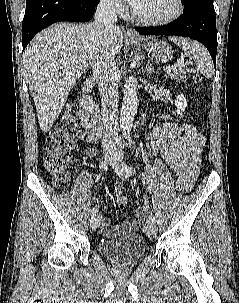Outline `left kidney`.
Masks as SVG:
<instances>
[{"instance_id": "obj_1", "label": "left kidney", "mask_w": 239, "mask_h": 303, "mask_svg": "<svg viewBox=\"0 0 239 303\" xmlns=\"http://www.w3.org/2000/svg\"><path fill=\"white\" fill-rule=\"evenodd\" d=\"M175 105L177 107V114L180 116V118H182L183 112H185V109L188 106L187 100L184 95H177Z\"/></svg>"}]
</instances>
